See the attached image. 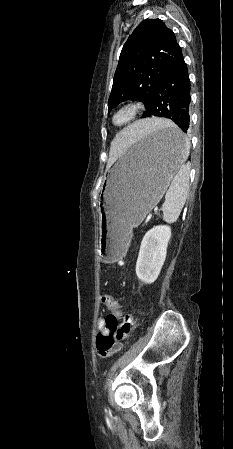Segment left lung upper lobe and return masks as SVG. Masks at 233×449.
I'll list each match as a JSON object with an SVG mask.
<instances>
[{
  "label": "left lung upper lobe",
  "instance_id": "obj_1",
  "mask_svg": "<svg viewBox=\"0 0 233 449\" xmlns=\"http://www.w3.org/2000/svg\"><path fill=\"white\" fill-rule=\"evenodd\" d=\"M175 34L160 19L142 21L124 44L112 91L108 112L126 100H141L147 113L157 85L166 72L181 58Z\"/></svg>",
  "mask_w": 233,
  "mask_h": 449
}]
</instances>
